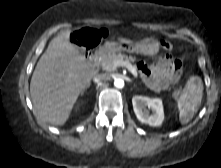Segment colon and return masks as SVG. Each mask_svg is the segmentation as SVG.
I'll return each mask as SVG.
<instances>
[{"instance_id":"5ec220e1","label":"colon","mask_w":221,"mask_h":168,"mask_svg":"<svg viewBox=\"0 0 221 168\" xmlns=\"http://www.w3.org/2000/svg\"><path fill=\"white\" fill-rule=\"evenodd\" d=\"M105 36V31L101 29H82L73 34V41L79 46L88 49L98 43ZM161 46L167 51L172 49V45L168 41H162ZM184 90L183 86H178L174 89V94L172 96L178 99L181 97Z\"/></svg>"}]
</instances>
